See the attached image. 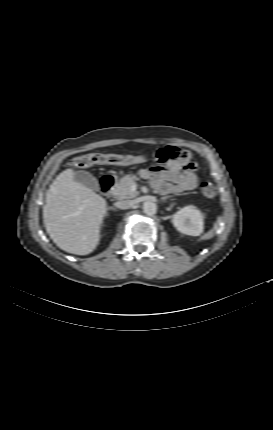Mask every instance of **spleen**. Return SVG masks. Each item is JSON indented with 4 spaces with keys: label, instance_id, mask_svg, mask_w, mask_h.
<instances>
[{
    "label": "spleen",
    "instance_id": "obj_1",
    "mask_svg": "<svg viewBox=\"0 0 273 430\" xmlns=\"http://www.w3.org/2000/svg\"><path fill=\"white\" fill-rule=\"evenodd\" d=\"M221 220H222V217H219V218H218V222H220Z\"/></svg>",
    "mask_w": 273,
    "mask_h": 430
}]
</instances>
